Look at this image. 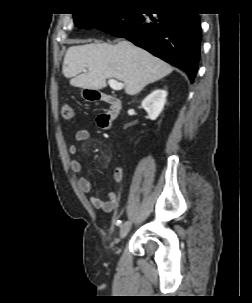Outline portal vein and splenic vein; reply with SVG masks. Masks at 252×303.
Returning <instances> with one entry per match:
<instances>
[{
  "label": "portal vein and splenic vein",
  "mask_w": 252,
  "mask_h": 303,
  "mask_svg": "<svg viewBox=\"0 0 252 303\" xmlns=\"http://www.w3.org/2000/svg\"><path fill=\"white\" fill-rule=\"evenodd\" d=\"M108 84L110 85V87L115 90V91H120L123 89L124 87V84L121 83V82H118L117 80L115 79H109L108 80Z\"/></svg>",
  "instance_id": "portal-vein-and-splenic-vein-1"
}]
</instances>
